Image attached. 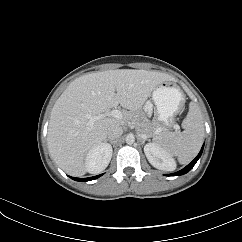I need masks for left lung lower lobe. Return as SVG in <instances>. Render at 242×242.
Wrapping results in <instances>:
<instances>
[{
  "label": "left lung lower lobe",
  "instance_id": "left-lung-lower-lobe-1",
  "mask_svg": "<svg viewBox=\"0 0 242 242\" xmlns=\"http://www.w3.org/2000/svg\"><path fill=\"white\" fill-rule=\"evenodd\" d=\"M202 151H203V147H202L201 151L199 152V154L197 155V157L189 165H187L185 168H183L179 172L175 173L174 176L183 175V174L189 172L194 167V165L196 164L198 159L200 158Z\"/></svg>",
  "mask_w": 242,
  "mask_h": 242
}]
</instances>
